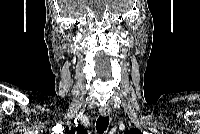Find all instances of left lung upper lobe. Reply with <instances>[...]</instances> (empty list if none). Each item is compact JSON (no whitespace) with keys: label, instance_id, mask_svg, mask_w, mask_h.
Listing matches in <instances>:
<instances>
[{"label":"left lung upper lobe","instance_id":"1","mask_svg":"<svg viewBox=\"0 0 200 134\" xmlns=\"http://www.w3.org/2000/svg\"><path fill=\"white\" fill-rule=\"evenodd\" d=\"M127 134H141L140 131H138L137 129L136 130H131L129 132H126Z\"/></svg>","mask_w":200,"mask_h":134}]
</instances>
